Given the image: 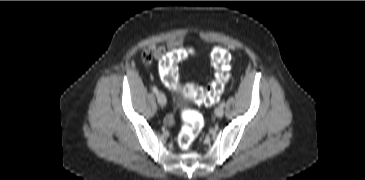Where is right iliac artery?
<instances>
[{"instance_id": "82829eb1", "label": "right iliac artery", "mask_w": 365, "mask_h": 180, "mask_svg": "<svg viewBox=\"0 0 365 180\" xmlns=\"http://www.w3.org/2000/svg\"><path fill=\"white\" fill-rule=\"evenodd\" d=\"M152 90H153V92L157 95L158 94V89H157V87L156 86H153L152 87Z\"/></svg>"}]
</instances>
